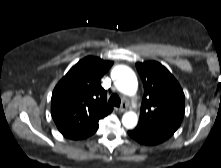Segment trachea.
Instances as JSON below:
<instances>
[{"instance_id": "1", "label": "trachea", "mask_w": 221, "mask_h": 168, "mask_svg": "<svg viewBox=\"0 0 221 168\" xmlns=\"http://www.w3.org/2000/svg\"><path fill=\"white\" fill-rule=\"evenodd\" d=\"M108 103H109L110 105L119 107V106H120V103H121L120 97H119L117 94H113V95L109 98Z\"/></svg>"}]
</instances>
